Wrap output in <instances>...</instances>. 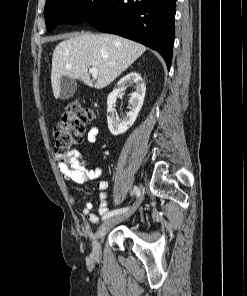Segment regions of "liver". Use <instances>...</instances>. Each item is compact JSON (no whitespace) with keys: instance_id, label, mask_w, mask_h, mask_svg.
Instances as JSON below:
<instances>
[{"instance_id":"liver-1","label":"liver","mask_w":247,"mask_h":296,"mask_svg":"<svg viewBox=\"0 0 247 296\" xmlns=\"http://www.w3.org/2000/svg\"><path fill=\"white\" fill-rule=\"evenodd\" d=\"M66 37L55 47L52 57L51 83L56 99L60 96L63 76L102 89L146 51L144 45L112 34L86 33ZM90 67L97 68L94 83L88 72Z\"/></svg>"}]
</instances>
